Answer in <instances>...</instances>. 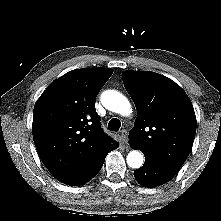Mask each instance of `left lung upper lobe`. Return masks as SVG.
Returning a JSON list of instances; mask_svg holds the SVG:
<instances>
[{"label":"left lung upper lobe","instance_id":"1","mask_svg":"<svg viewBox=\"0 0 221 221\" xmlns=\"http://www.w3.org/2000/svg\"><path fill=\"white\" fill-rule=\"evenodd\" d=\"M124 86L137 109L130 145L160 164L180 169L191 152L196 116L185 91L150 71H126Z\"/></svg>","mask_w":221,"mask_h":221}]
</instances>
